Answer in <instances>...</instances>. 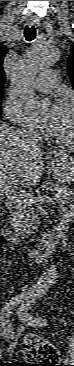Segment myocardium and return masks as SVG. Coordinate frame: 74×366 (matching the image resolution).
I'll return each mask as SVG.
<instances>
[{"instance_id": "obj_1", "label": "myocardium", "mask_w": 74, "mask_h": 366, "mask_svg": "<svg viewBox=\"0 0 74 366\" xmlns=\"http://www.w3.org/2000/svg\"><path fill=\"white\" fill-rule=\"evenodd\" d=\"M64 103L66 105H68L70 110H71L72 122H73V132L69 137H61V136H58L54 133H51L50 136H51L52 140H54L58 143H61V144H64V145H73L74 144V102H73V100L67 98V99L64 100Z\"/></svg>"}]
</instances>
